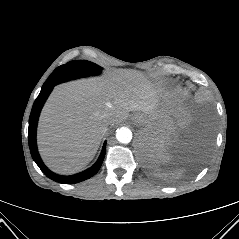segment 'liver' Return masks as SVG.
<instances>
[{"instance_id": "obj_1", "label": "liver", "mask_w": 239, "mask_h": 239, "mask_svg": "<svg viewBox=\"0 0 239 239\" xmlns=\"http://www.w3.org/2000/svg\"><path fill=\"white\" fill-rule=\"evenodd\" d=\"M157 91L134 70L107 78L83 79L55 87L40 116L37 140L46 165L56 173L72 174L95 156L108 125L126 120L130 111L159 116ZM179 125L187 114L173 105ZM112 114L107 124L104 116Z\"/></svg>"}]
</instances>
